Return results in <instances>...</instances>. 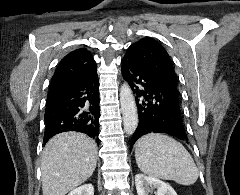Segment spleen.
I'll list each match as a JSON object with an SVG mask.
<instances>
[{"mask_svg":"<svg viewBox=\"0 0 240 195\" xmlns=\"http://www.w3.org/2000/svg\"><path fill=\"white\" fill-rule=\"evenodd\" d=\"M135 159L143 173L174 179L181 185H191L198 179V167L184 145L170 135L146 133L135 143Z\"/></svg>","mask_w":240,"mask_h":195,"instance_id":"obj_1","label":"spleen"}]
</instances>
